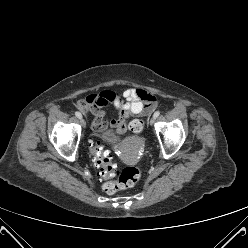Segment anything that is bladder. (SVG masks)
<instances>
[{
    "label": "bladder",
    "instance_id": "31cf9c89",
    "mask_svg": "<svg viewBox=\"0 0 248 248\" xmlns=\"http://www.w3.org/2000/svg\"><path fill=\"white\" fill-rule=\"evenodd\" d=\"M103 136H104V140L109 143H113L116 140V136L109 131L105 132Z\"/></svg>",
    "mask_w": 248,
    "mask_h": 248
}]
</instances>
